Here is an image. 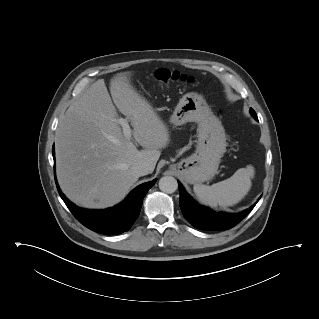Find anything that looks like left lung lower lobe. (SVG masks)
Here are the masks:
<instances>
[{
  "instance_id": "obj_1",
  "label": "left lung lower lobe",
  "mask_w": 319,
  "mask_h": 319,
  "mask_svg": "<svg viewBox=\"0 0 319 319\" xmlns=\"http://www.w3.org/2000/svg\"><path fill=\"white\" fill-rule=\"evenodd\" d=\"M255 119H258L255 117ZM180 192V208L184 217L195 228L202 230H227L241 222L254 208H250L238 213L215 212L197 204L184 190L178 182ZM260 199V198H259Z\"/></svg>"
}]
</instances>
